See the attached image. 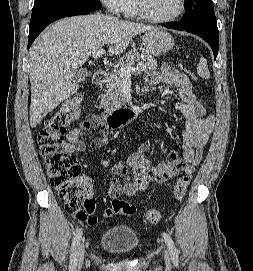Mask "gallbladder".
Listing matches in <instances>:
<instances>
[{
  "label": "gallbladder",
  "mask_w": 253,
  "mask_h": 271,
  "mask_svg": "<svg viewBox=\"0 0 253 271\" xmlns=\"http://www.w3.org/2000/svg\"><path fill=\"white\" fill-rule=\"evenodd\" d=\"M89 76V72L85 69H80L78 71H76L75 76L73 77V81L75 82H82L84 81L86 78H88Z\"/></svg>",
  "instance_id": "1"
}]
</instances>
